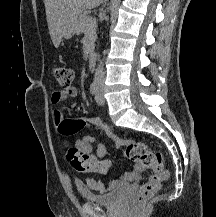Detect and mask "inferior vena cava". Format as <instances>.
<instances>
[{
    "label": "inferior vena cava",
    "instance_id": "obj_1",
    "mask_svg": "<svg viewBox=\"0 0 216 217\" xmlns=\"http://www.w3.org/2000/svg\"><path fill=\"white\" fill-rule=\"evenodd\" d=\"M105 80V73L103 69V64L100 62L98 65L96 71H95V76H94V81L98 84H103Z\"/></svg>",
    "mask_w": 216,
    "mask_h": 217
}]
</instances>
